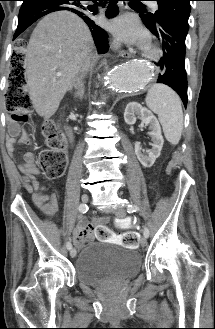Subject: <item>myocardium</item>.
<instances>
[{
    "instance_id": "obj_1",
    "label": "myocardium",
    "mask_w": 215,
    "mask_h": 329,
    "mask_svg": "<svg viewBox=\"0 0 215 329\" xmlns=\"http://www.w3.org/2000/svg\"><path fill=\"white\" fill-rule=\"evenodd\" d=\"M144 56L148 60L157 61L161 58L162 51L158 47L153 46L145 52Z\"/></svg>"
}]
</instances>
